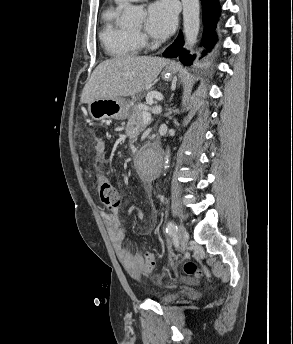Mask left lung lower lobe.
Wrapping results in <instances>:
<instances>
[{"instance_id":"obj_1","label":"left lung lower lobe","mask_w":293,"mask_h":344,"mask_svg":"<svg viewBox=\"0 0 293 344\" xmlns=\"http://www.w3.org/2000/svg\"><path fill=\"white\" fill-rule=\"evenodd\" d=\"M203 7L204 33L202 45L210 52L214 45V30L220 14L218 0H201ZM183 35L180 32L176 40L164 51L163 56L168 58L179 57L180 61L189 66L193 63L195 55L192 56L183 48ZM204 53V54H205Z\"/></svg>"}]
</instances>
